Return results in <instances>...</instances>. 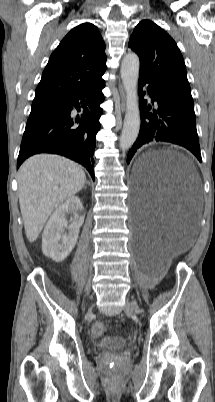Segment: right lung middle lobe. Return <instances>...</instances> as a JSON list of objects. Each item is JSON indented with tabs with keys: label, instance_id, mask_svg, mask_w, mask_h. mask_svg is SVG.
I'll return each mask as SVG.
<instances>
[{
	"label": "right lung middle lobe",
	"instance_id": "right-lung-middle-lobe-1",
	"mask_svg": "<svg viewBox=\"0 0 215 402\" xmlns=\"http://www.w3.org/2000/svg\"><path fill=\"white\" fill-rule=\"evenodd\" d=\"M60 102L61 101H45L32 103L31 113L29 115L26 127L34 124L36 121L57 110L60 106Z\"/></svg>",
	"mask_w": 215,
	"mask_h": 402
}]
</instances>
